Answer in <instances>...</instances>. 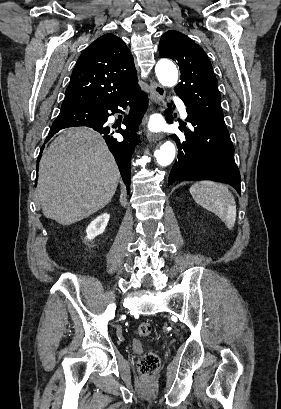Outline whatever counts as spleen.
<instances>
[{
	"label": "spleen",
	"instance_id": "1",
	"mask_svg": "<svg viewBox=\"0 0 281 409\" xmlns=\"http://www.w3.org/2000/svg\"><path fill=\"white\" fill-rule=\"evenodd\" d=\"M189 190L198 205L217 215L227 229H233L236 221V205L228 186L213 180H200L192 184Z\"/></svg>",
	"mask_w": 281,
	"mask_h": 409
}]
</instances>
